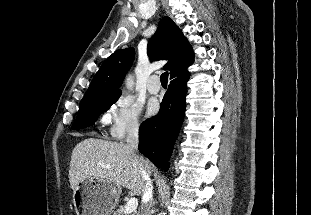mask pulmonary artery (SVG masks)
<instances>
[{"mask_svg": "<svg viewBox=\"0 0 311 215\" xmlns=\"http://www.w3.org/2000/svg\"><path fill=\"white\" fill-rule=\"evenodd\" d=\"M147 89L151 94H157L160 91L159 78L156 75L150 77L147 85Z\"/></svg>", "mask_w": 311, "mask_h": 215, "instance_id": "1", "label": "pulmonary artery"}]
</instances>
